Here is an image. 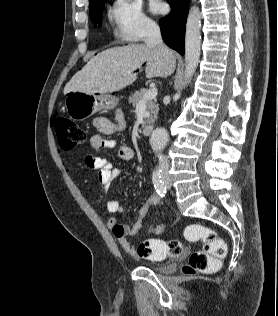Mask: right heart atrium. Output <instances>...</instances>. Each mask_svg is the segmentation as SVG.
Segmentation results:
<instances>
[{"mask_svg":"<svg viewBox=\"0 0 278 316\" xmlns=\"http://www.w3.org/2000/svg\"><path fill=\"white\" fill-rule=\"evenodd\" d=\"M107 16L114 38L121 42L139 41L156 28L137 0H113Z\"/></svg>","mask_w":278,"mask_h":316,"instance_id":"d8ad5b80","label":"right heart atrium"}]
</instances>
